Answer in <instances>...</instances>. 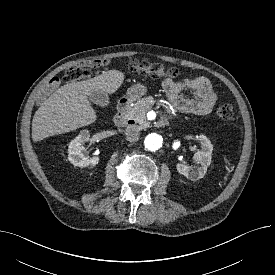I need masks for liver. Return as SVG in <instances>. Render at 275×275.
<instances>
[{
	"label": "liver",
	"mask_w": 275,
	"mask_h": 275,
	"mask_svg": "<svg viewBox=\"0 0 275 275\" xmlns=\"http://www.w3.org/2000/svg\"><path fill=\"white\" fill-rule=\"evenodd\" d=\"M124 78L122 72L109 70L89 80L69 83L58 88L34 114L33 141L65 134L94 123L97 115L88 96L97 90L113 94L122 85Z\"/></svg>",
	"instance_id": "obj_1"
}]
</instances>
